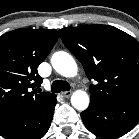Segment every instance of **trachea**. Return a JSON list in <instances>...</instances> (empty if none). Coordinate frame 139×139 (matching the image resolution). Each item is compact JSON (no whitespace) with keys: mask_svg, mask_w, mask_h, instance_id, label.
Returning a JSON list of instances; mask_svg holds the SVG:
<instances>
[{"mask_svg":"<svg viewBox=\"0 0 139 139\" xmlns=\"http://www.w3.org/2000/svg\"><path fill=\"white\" fill-rule=\"evenodd\" d=\"M70 85L68 82L63 80H56L51 85V91L54 93H59L61 91H69Z\"/></svg>","mask_w":139,"mask_h":139,"instance_id":"trachea-1","label":"trachea"}]
</instances>
